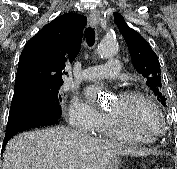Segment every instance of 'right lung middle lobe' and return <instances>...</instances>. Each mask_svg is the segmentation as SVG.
I'll return each mask as SVG.
<instances>
[{"label":"right lung middle lobe","mask_w":177,"mask_h":169,"mask_svg":"<svg viewBox=\"0 0 177 169\" xmlns=\"http://www.w3.org/2000/svg\"><path fill=\"white\" fill-rule=\"evenodd\" d=\"M61 85H43L29 83L20 88L14 96L11 108H34L49 110L50 112L61 115V101L59 94Z\"/></svg>","instance_id":"obj_1"}]
</instances>
